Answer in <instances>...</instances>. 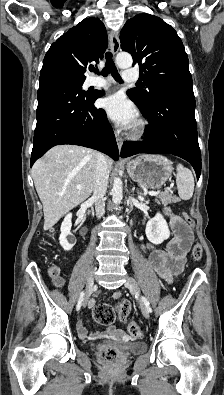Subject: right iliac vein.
<instances>
[{
	"label": "right iliac vein",
	"mask_w": 224,
	"mask_h": 395,
	"mask_svg": "<svg viewBox=\"0 0 224 395\" xmlns=\"http://www.w3.org/2000/svg\"><path fill=\"white\" fill-rule=\"evenodd\" d=\"M93 288H94V273H92L90 275V277H89V279L87 281L86 293H85L84 300H83V306L84 307L86 306V304H87V302L89 300V297H90V295H91V293L93 291Z\"/></svg>",
	"instance_id": "63e3f726"
}]
</instances>
